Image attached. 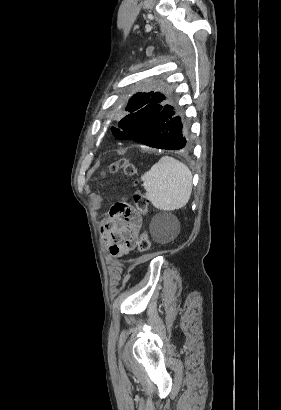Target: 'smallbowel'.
Wrapping results in <instances>:
<instances>
[{"mask_svg":"<svg viewBox=\"0 0 281 410\" xmlns=\"http://www.w3.org/2000/svg\"><path fill=\"white\" fill-rule=\"evenodd\" d=\"M142 218L133 213L128 217L110 215L101 227L103 242L114 258L129 254L135 247Z\"/></svg>","mask_w":281,"mask_h":410,"instance_id":"obj_1","label":"small bowel"}]
</instances>
